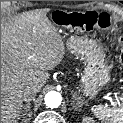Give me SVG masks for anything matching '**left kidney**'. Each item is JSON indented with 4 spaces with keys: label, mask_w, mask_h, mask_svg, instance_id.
<instances>
[{
    "label": "left kidney",
    "mask_w": 123,
    "mask_h": 123,
    "mask_svg": "<svg viewBox=\"0 0 123 123\" xmlns=\"http://www.w3.org/2000/svg\"><path fill=\"white\" fill-rule=\"evenodd\" d=\"M82 123H94V122L92 120H90L89 118H83Z\"/></svg>",
    "instance_id": "1"
}]
</instances>
